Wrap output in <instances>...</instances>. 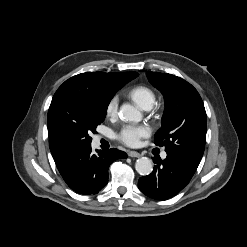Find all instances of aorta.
<instances>
[{"mask_svg": "<svg viewBox=\"0 0 247 247\" xmlns=\"http://www.w3.org/2000/svg\"><path fill=\"white\" fill-rule=\"evenodd\" d=\"M119 115L123 120L131 122H139L142 119L140 111L130 104H123L120 108ZM135 169L140 175L146 176L152 172L153 163L151 159L142 157L136 161Z\"/></svg>", "mask_w": 247, "mask_h": 247, "instance_id": "1", "label": "aorta"}]
</instances>
